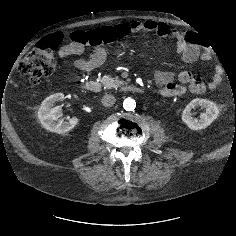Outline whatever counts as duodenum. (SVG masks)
Instances as JSON below:
<instances>
[{
  "instance_id": "1",
  "label": "duodenum",
  "mask_w": 236,
  "mask_h": 236,
  "mask_svg": "<svg viewBox=\"0 0 236 236\" xmlns=\"http://www.w3.org/2000/svg\"><path fill=\"white\" fill-rule=\"evenodd\" d=\"M85 90L92 92V93H99L102 91V86L98 81L90 80L88 81L85 86ZM123 90L126 92L131 93H142L143 89L137 85L127 84L123 87Z\"/></svg>"
}]
</instances>
